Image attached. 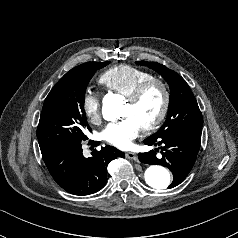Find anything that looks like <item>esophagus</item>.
Here are the masks:
<instances>
[{
  "label": "esophagus",
  "mask_w": 238,
  "mask_h": 238,
  "mask_svg": "<svg viewBox=\"0 0 238 238\" xmlns=\"http://www.w3.org/2000/svg\"><path fill=\"white\" fill-rule=\"evenodd\" d=\"M125 155H126V157H127L128 159H132V160H134V161H138V156H137V154H135V153H133V152H127Z\"/></svg>",
  "instance_id": "obj_1"
}]
</instances>
